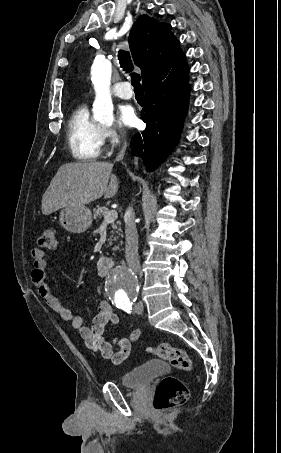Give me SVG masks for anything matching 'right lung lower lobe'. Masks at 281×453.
Returning a JSON list of instances; mask_svg holds the SVG:
<instances>
[{
	"label": "right lung lower lobe",
	"instance_id": "obj_1",
	"mask_svg": "<svg viewBox=\"0 0 281 453\" xmlns=\"http://www.w3.org/2000/svg\"><path fill=\"white\" fill-rule=\"evenodd\" d=\"M145 106L141 112L146 129L131 141L134 155L148 171L156 168L176 144L188 108L190 86L183 52L142 80Z\"/></svg>",
	"mask_w": 281,
	"mask_h": 453
}]
</instances>
